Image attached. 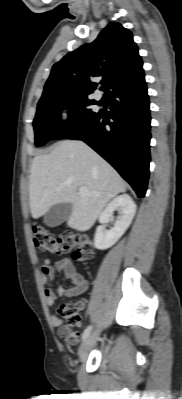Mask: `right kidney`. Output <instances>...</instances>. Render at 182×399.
<instances>
[{"label":"right kidney","instance_id":"1","mask_svg":"<svg viewBox=\"0 0 182 399\" xmlns=\"http://www.w3.org/2000/svg\"><path fill=\"white\" fill-rule=\"evenodd\" d=\"M115 210H119L121 216L115 222L113 228L105 230L103 224L109 222V218ZM135 213L136 205L128 194L115 197L99 215V222L102 225L96 229L94 237L95 248L105 250L113 246L130 226Z\"/></svg>","mask_w":182,"mask_h":399}]
</instances>
